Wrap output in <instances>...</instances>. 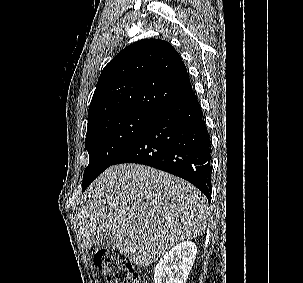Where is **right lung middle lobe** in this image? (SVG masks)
<instances>
[{
  "instance_id": "right-lung-middle-lobe-1",
  "label": "right lung middle lobe",
  "mask_w": 303,
  "mask_h": 283,
  "mask_svg": "<svg viewBox=\"0 0 303 283\" xmlns=\"http://www.w3.org/2000/svg\"><path fill=\"white\" fill-rule=\"evenodd\" d=\"M156 114L141 111L118 113L87 127L85 147L89 165L85 169L84 191L134 142Z\"/></svg>"
}]
</instances>
